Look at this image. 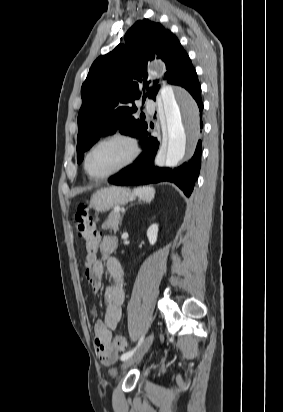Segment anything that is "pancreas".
Instances as JSON below:
<instances>
[{
    "label": "pancreas",
    "instance_id": "pancreas-1",
    "mask_svg": "<svg viewBox=\"0 0 283 412\" xmlns=\"http://www.w3.org/2000/svg\"><path fill=\"white\" fill-rule=\"evenodd\" d=\"M122 218L119 212L112 211L107 220L102 224V229L113 230L115 233L118 231V226L121 224Z\"/></svg>",
    "mask_w": 283,
    "mask_h": 412
}]
</instances>
